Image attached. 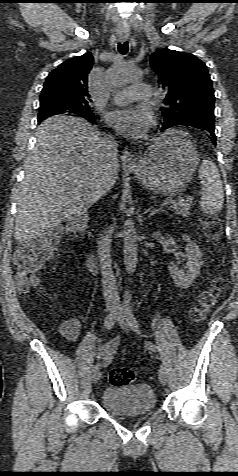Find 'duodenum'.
<instances>
[{
  "instance_id": "410a0bca",
  "label": "duodenum",
  "mask_w": 238,
  "mask_h": 476,
  "mask_svg": "<svg viewBox=\"0 0 238 476\" xmlns=\"http://www.w3.org/2000/svg\"><path fill=\"white\" fill-rule=\"evenodd\" d=\"M87 219L85 216L73 218L67 225V233L69 241L74 246H80L82 242V234L86 227ZM82 258L85 266L92 272H97L99 269V262L97 256L91 251L82 253Z\"/></svg>"
}]
</instances>
